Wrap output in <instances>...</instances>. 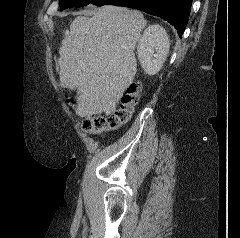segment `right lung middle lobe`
Masks as SVG:
<instances>
[{
	"label": "right lung middle lobe",
	"instance_id": "obj_1",
	"mask_svg": "<svg viewBox=\"0 0 240 238\" xmlns=\"http://www.w3.org/2000/svg\"><path fill=\"white\" fill-rule=\"evenodd\" d=\"M110 0H59L60 9H66L69 7H81L88 4L104 5L105 2Z\"/></svg>",
	"mask_w": 240,
	"mask_h": 238
}]
</instances>
